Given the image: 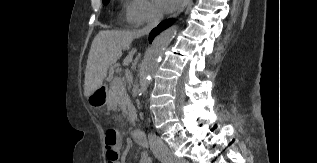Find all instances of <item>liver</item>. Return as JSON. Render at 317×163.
Instances as JSON below:
<instances>
[{
  "instance_id": "liver-1",
  "label": "liver",
  "mask_w": 317,
  "mask_h": 163,
  "mask_svg": "<svg viewBox=\"0 0 317 163\" xmlns=\"http://www.w3.org/2000/svg\"><path fill=\"white\" fill-rule=\"evenodd\" d=\"M141 35L135 31L101 30L93 39L85 70L84 95L89 97L100 88L107 76L108 68L122 56L132 41ZM136 49H132L123 60V65L131 63Z\"/></svg>"
}]
</instances>
